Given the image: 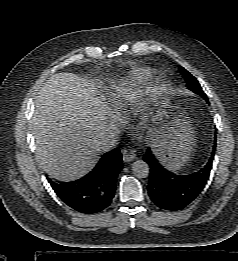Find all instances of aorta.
I'll use <instances>...</instances> for the list:
<instances>
[{
    "instance_id": "obj_1",
    "label": "aorta",
    "mask_w": 238,
    "mask_h": 261,
    "mask_svg": "<svg viewBox=\"0 0 238 261\" xmlns=\"http://www.w3.org/2000/svg\"><path fill=\"white\" fill-rule=\"evenodd\" d=\"M132 173L137 178H146L149 175V166L143 160H136L132 163Z\"/></svg>"
}]
</instances>
